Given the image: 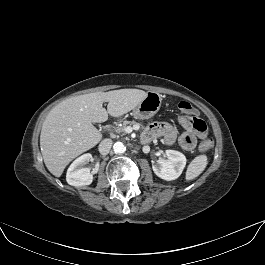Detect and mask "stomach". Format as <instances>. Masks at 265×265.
Returning a JSON list of instances; mask_svg holds the SVG:
<instances>
[{
	"mask_svg": "<svg viewBox=\"0 0 265 265\" xmlns=\"http://www.w3.org/2000/svg\"><path fill=\"white\" fill-rule=\"evenodd\" d=\"M162 97L159 93L149 92L138 106L133 109V115L137 119H149L160 109Z\"/></svg>",
	"mask_w": 265,
	"mask_h": 265,
	"instance_id": "1",
	"label": "stomach"
}]
</instances>
